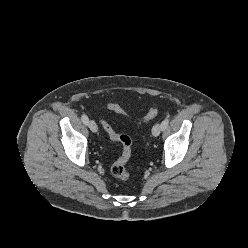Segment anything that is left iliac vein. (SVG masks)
<instances>
[{
  "label": "left iliac vein",
  "mask_w": 248,
  "mask_h": 248,
  "mask_svg": "<svg viewBox=\"0 0 248 248\" xmlns=\"http://www.w3.org/2000/svg\"><path fill=\"white\" fill-rule=\"evenodd\" d=\"M161 130H162L161 124H159V123L155 124L153 126V128H152V134H153V136L154 137L159 136V134L161 133Z\"/></svg>",
  "instance_id": "1"
}]
</instances>
